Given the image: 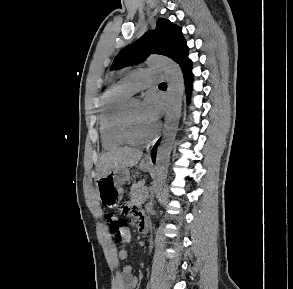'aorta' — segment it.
<instances>
[{
    "mask_svg": "<svg viewBox=\"0 0 293 289\" xmlns=\"http://www.w3.org/2000/svg\"><path fill=\"white\" fill-rule=\"evenodd\" d=\"M148 66L160 68L164 71L168 83V108L163 129V136L157 149L155 163L154 187L159 191L164 184L173 143L178 130L184 93V79L180 67L167 58L151 57Z\"/></svg>",
    "mask_w": 293,
    "mask_h": 289,
    "instance_id": "obj_1",
    "label": "aorta"
}]
</instances>
